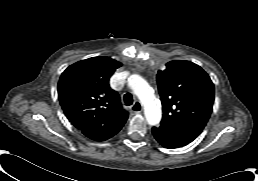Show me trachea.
Returning a JSON list of instances; mask_svg holds the SVG:
<instances>
[{"instance_id": "1", "label": "trachea", "mask_w": 258, "mask_h": 181, "mask_svg": "<svg viewBox=\"0 0 258 181\" xmlns=\"http://www.w3.org/2000/svg\"><path fill=\"white\" fill-rule=\"evenodd\" d=\"M124 102H125V105L127 106H130L133 104V97L130 93H126L124 95Z\"/></svg>"}]
</instances>
